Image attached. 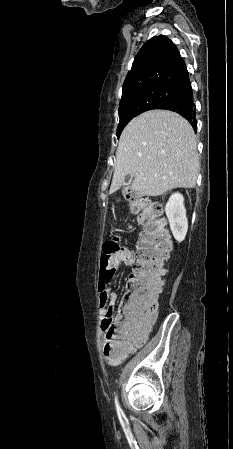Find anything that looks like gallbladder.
<instances>
[{"mask_svg": "<svg viewBox=\"0 0 233 449\" xmlns=\"http://www.w3.org/2000/svg\"><path fill=\"white\" fill-rule=\"evenodd\" d=\"M130 181H131L130 177H129V176L126 177L125 180H124V185H125V186H128V184L130 183ZM123 192H124V194H127V193H128V190L125 189ZM129 194H130L133 198L139 197V196H140L138 193H135V192H133V191L129 192Z\"/></svg>", "mask_w": 233, "mask_h": 449, "instance_id": "obj_1", "label": "gallbladder"}]
</instances>
